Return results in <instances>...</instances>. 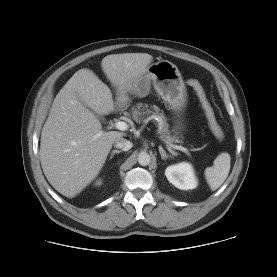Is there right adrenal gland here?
Returning a JSON list of instances; mask_svg holds the SVG:
<instances>
[{"mask_svg": "<svg viewBox=\"0 0 277 277\" xmlns=\"http://www.w3.org/2000/svg\"><path fill=\"white\" fill-rule=\"evenodd\" d=\"M121 153V150H113L111 152V156H110V159H112L114 157L115 154H120Z\"/></svg>", "mask_w": 277, "mask_h": 277, "instance_id": "obj_1", "label": "right adrenal gland"}]
</instances>
